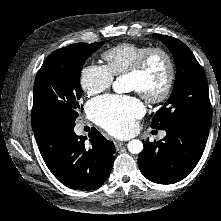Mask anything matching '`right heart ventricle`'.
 <instances>
[{"label":"right heart ventricle","mask_w":221,"mask_h":221,"mask_svg":"<svg viewBox=\"0 0 221 221\" xmlns=\"http://www.w3.org/2000/svg\"><path fill=\"white\" fill-rule=\"evenodd\" d=\"M147 48L146 45L121 43L103 52L102 58L107 70L117 77L125 74Z\"/></svg>","instance_id":"obj_1"}]
</instances>
